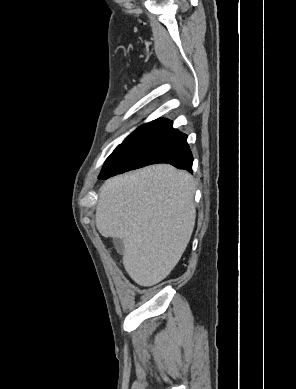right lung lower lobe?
Listing matches in <instances>:
<instances>
[{
  "label": "right lung lower lobe",
  "instance_id": "98d812e1",
  "mask_svg": "<svg viewBox=\"0 0 296 389\" xmlns=\"http://www.w3.org/2000/svg\"><path fill=\"white\" fill-rule=\"evenodd\" d=\"M168 163L176 168L185 169L192 172L193 156L187 143V135L172 130L149 152L146 161L137 168L151 164ZM136 168L110 170L99 175V179H107L116 174H120Z\"/></svg>",
  "mask_w": 296,
  "mask_h": 389
}]
</instances>
